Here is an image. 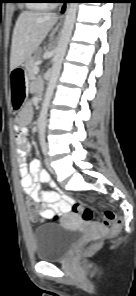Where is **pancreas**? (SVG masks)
Returning a JSON list of instances; mask_svg holds the SVG:
<instances>
[{
  "label": "pancreas",
  "mask_w": 136,
  "mask_h": 296,
  "mask_svg": "<svg viewBox=\"0 0 136 296\" xmlns=\"http://www.w3.org/2000/svg\"><path fill=\"white\" fill-rule=\"evenodd\" d=\"M41 50L36 51L35 55L33 57H30L26 63H25V67H26V73L29 77H33L34 76V67L37 66L36 65V60H38L41 56Z\"/></svg>",
  "instance_id": "pancreas-1"
}]
</instances>
